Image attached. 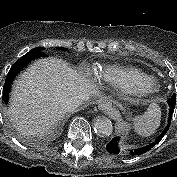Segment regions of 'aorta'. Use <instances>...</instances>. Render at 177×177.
<instances>
[{
	"label": "aorta",
	"mask_w": 177,
	"mask_h": 177,
	"mask_svg": "<svg viewBox=\"0 0 177 177\" xmlns=\"http://www.w3.org/2000/svg\"><path fill=\"white\" fill-rule=\"evenodd\" d=\"M93 127L100 136H110L113 132V125L110 119L104 116L96 118Z\"/></svg>",
	"instance_id": "aorta-1"
}]
</instances>
